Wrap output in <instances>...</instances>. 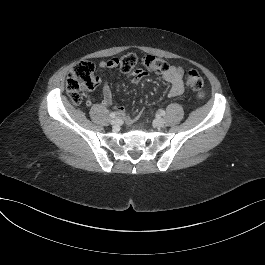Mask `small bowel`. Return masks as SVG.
I'll use <instances>...</instances> for the list:
<instances>
[{"label":"small bowel","instance_id":"obj_1","mask_svg":"<svg viewBox=\"0 0 265 265\" xmlns=\"http://www.w3.org/2000/svg\"><path fill=\"white\" fill-rule=\"evenodd\" d=\"M117 64L114 62V58L109 60H104L99 63L100 68H114ZM147 71L144 69H136L130 73L131 82L136 84L139 83L147 76ZM184 69L181 66H170L166 73L162 74V78L169 84L168 95L170 97H175L183 93ZM113 103V95L111 88L107 82L102 85V101L101 104L104 106H111ZM87 105L91 106V100H87ZM117 114L126 121H131L133 118L138 117L141 111L135 116L130 115L124 108L118 107L116 109Z\"/></svg>","mask_w":265,"mask_h":265}]
</instances>
